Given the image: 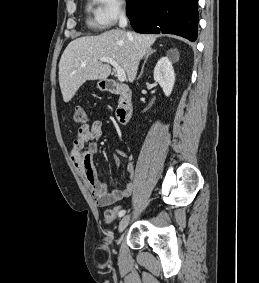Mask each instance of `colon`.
I'll use <instances>...</instances> for the list:
<instances>
[{
  "instance_id": "5ec220e1",
  "label": "colon",
  "mask_w": 259,
  "mask_h": 283,
  "mask_svg": "<svg viewBox=\"0 0 259 283\" xmlns=\"http://www.w3.org/2000/svg\"><path fill=\"white\" fill-rule=\"evenodd\" d=\"M74 121L76 123H85L87 121V116L85 109L82 106H76L74 109ZM117 210H110L106 213V219L111 222L117 217ZM119 215V213H118Z\"/></svg>"
}]
</instances>
